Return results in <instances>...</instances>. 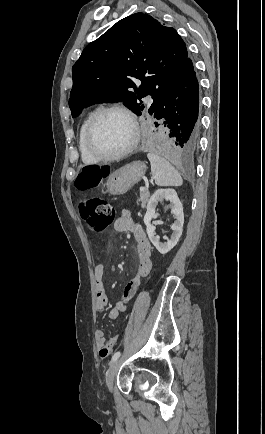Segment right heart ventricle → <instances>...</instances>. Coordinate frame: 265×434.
<instances>
[{
	"mask_svg": "<svg viewBox=\"0 0 265 434\" xmlns=\"http://www.w3.org/2000/svg\"><path fill=\"white\" fill-rule=\"evenodd\" d=\"M94 113H95V111L91 110L85 115V117H84V119L80 125L79 131H78V136H77L78 155H79L81 163L85 166H94V165L99 163V160L94 158L88 152V150L86 148V143H85V137H86L87 132H88V126H89L90 120H91Z\"/></svg>",
	"mask_w": 265,
	"mask_h": 434,
	"instance_id": "1",
	"label": "right heart ventricle"
}]
</instances>
